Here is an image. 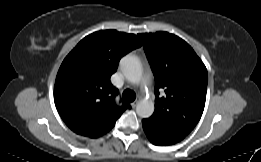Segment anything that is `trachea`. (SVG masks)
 Masks as SVG:
<instances>
[{
	"instance_id": "1",
	"label": "trachea",
	"mask_w": 261,
	"mask_h": 162,
	"mask_svg": "<svg viewBox=\"0 0 261 162\" xmlns=\"http://www.w3.org/2000/svg\"><path fill=\"white\" fill-rule=\"evenodd\" d=\"M122 96L124 101L127 102H133L136 98L135 93L129 89L124 90Z\"/></svg>"
}]
</instances>
